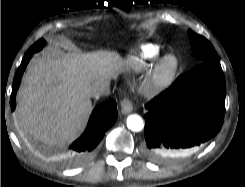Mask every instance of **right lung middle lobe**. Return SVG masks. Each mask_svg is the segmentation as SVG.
Wrapping results in <instances>:
<instances>
[{
    "label": "right lung middle lobe",
    "instance_id": "dd1d6c3e",
    "mask_svg": "<svg viewBox=\"0 0 245 187\" xmlns=\"http://www.w3.org/2000/svg\"><path fill=\"white\" fill-rule=\"evenodd\" d=\"M45 46V40H38L28 51L38 52Z\"/></svg>",
    "mask_w": 245,
    "mask_h": 187
}]
</instances>
